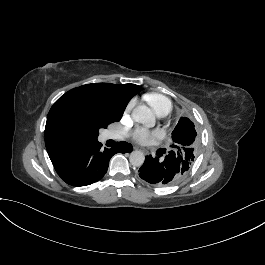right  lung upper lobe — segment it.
<instances>
[{"instance_id": "1", "label": "right lung upper lobe", "mask_w": 265, "mask_h": 265, "mask_svg": "<svg viewBox=\"0 0 265 265\" xmlns=\"http://www.w3.org/2000/svg\"><path fill=\"white\" fill-rule=\"evenodd\" d=\"M72 90H95V91H106L120 95L128 103L130 99L141 91V87L135 84H108V83H97L87 84ZM45 144L48 155L51 161H55L67 151L83 145L97 139L90 138H74L63 135L52 128L50 117L47 118L45 126Z\"/></svg>"}]
</instances>
